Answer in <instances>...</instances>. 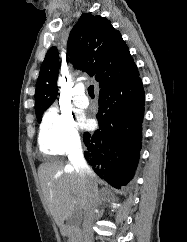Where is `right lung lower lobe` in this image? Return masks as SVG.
I'll return each mask as SVG.
<instances>
[{"instance_id":"right-lung-lower-lobe-1","label":"right lung lower lobe","mask_w":187,"mask_h":242,"mask_svg":"<svg viewBox=\"0 0 187 242\" xmlns=\"http://www.w3.org/2000/svg\"><path fill=\"white\" fill-rule=\"evenodd\" d=\"M144 90L139 73L99 93V129L85 132V159L97 175L115 188L135 172L142 140Z\"/></svg>"}]
</instances>
